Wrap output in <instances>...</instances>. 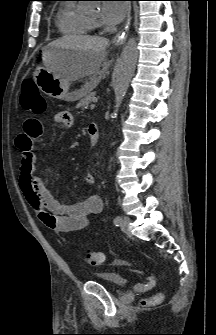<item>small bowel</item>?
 <instances>
[{
    "label": "small bowel",
    "mask_w": 216,
    "mask_h": 335,
    "mask_svg": "<svg viewBox=\"0 0 216 335\" xmlns=\"http://www.w3.org/2000/svg\"><path fill=\"white\" fill-rule=\"evenodd\" d=\"M55 120L62 126L68 127L72 123V116L68 111H61ZM42 127L44 120H27L23 133L17 138L16 146L21 154V190L31 210L47 228L58 233L80 231L87 227L91 215L102 211V201L99 196L90 195L80 202L62 203L54 198L42 179L35 175L33 144L42 134ZM96 143L91 141L92 146ZM85 182L93 185L95 177L87 174Z\"/></svg>",
    "instance_id": "1"
}]
</instances>
